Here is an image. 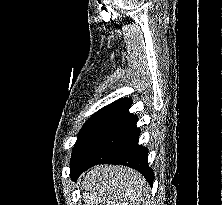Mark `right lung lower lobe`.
Returning <instances> with one entry per match:
<instances>
[{
  "label": "right lung lower lobe",
  "mask_w": 222,
  "mask_h": 205,
  "mask_svg": "<svg viewBox=\"0 0 222 205\" xmlns=\"http://www.w3.org/2000/svg\"><path fill=\"white\" fill-rule=\"evenodd\" d=\"M131 103L127 99L108 112L90 133L70 166L72 180L94 165L120 164L138 170L152 186L154 174L148 166V149L138 144V117L129 113Z\"/></svg>",
  "instance_id": "obj_1"
}]
</instances>
